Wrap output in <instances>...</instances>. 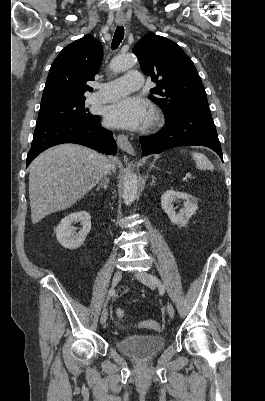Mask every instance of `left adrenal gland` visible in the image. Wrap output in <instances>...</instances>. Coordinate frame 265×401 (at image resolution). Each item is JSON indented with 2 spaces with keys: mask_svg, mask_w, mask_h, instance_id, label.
I'll use <instances>...</instances> for the list:
<instances>
[{
  "mask_svg": "<svg viewBox=\"0 0 265 401\" xmlns=\"http://www.w3.org/2000/svg\"><path fill=\"white\" fill-rule=\"evenodd\" d=\"M155 182V176H152L151 184H154Z\"/></svg>",
  "mask_w": 265,
  "mask_h": 401,
  "instance_id": "obj_1",
  "label": "left adrenal gland"
}]
</instances>
